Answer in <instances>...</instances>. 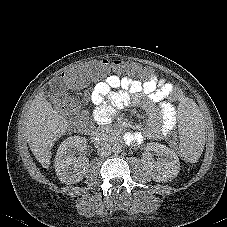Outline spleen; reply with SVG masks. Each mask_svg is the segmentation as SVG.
Masks as SVG:
<instances>
[{
  "label": "spleen",
  "instance_id": "1",
  "mask_svg": "<svg viewBox=\"0 0 227 227\" xmlns=\"http://www.w3.org/2000/svg\"><path fill=\"white\" fill-rule=\"evenodd\" d=\"M176 127L180 153L187 160H195L202 153L203 122L195 101L184 99L177 106Z\"/></svg>",
  "mask_w": 227,
  "mask_h": 227
}]
</instances>
